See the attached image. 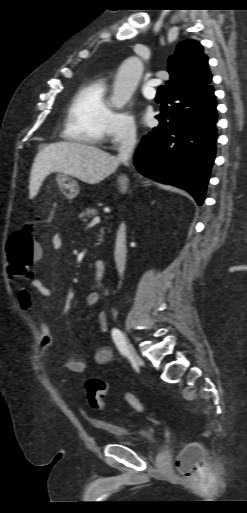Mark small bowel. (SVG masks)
Here are the masks:
<instances>
[{
    "instance_id": "obj_1",
    "label": "small bowel",
    "mask_w": 247,
    "mask_h": 513,
    "mask_svg": "<svg viewBox=\"0 0 247 513\" xmlns=\"http://www.w3.org/2000/svg\"><path fill=\"white\" fill-rule=\"evenodd\" d=\"M51 245L54 250H60L63 245V238L61 234L55 233L51 238ZM31 287L39 295L48 297L53 294V288L38 278H31ZM19 302L22 306L30 308L32 305V297L30 292L21 287L19 290ZM101 296L98 292H89L85 297V303L89 307L99 305ZM97 324L99 331L105 333L108 329L107 316L104 311H100L97 315ZM53 344V335L49 325L45 322L40 324V342H39V354L42 359H47L51 355ZM113 360L112 350L107 346H100L94 353V362L98 366H103L111 363ZM61 367L71 373H82L86 368L85 361L77 356L70 355L64 359Z\"/></svg>"
}]
</instances>
